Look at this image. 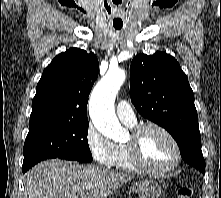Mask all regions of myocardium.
<instances>
[{
	"mask_svg": "<svg viewBox=\"0 0 221 198\" xmlns=\"http://www.w3.org/2000/svg\"><path fill=\"white\" fill-rule=\"evenodd\" d=\"M149 129H156L162 132L170 140L174 147V161L171 165H169L166 168H151L147 166L142 160L140 154V140L143 133ZM126 146L128 149L130 160L133 163V165L137 168V170L154 176H162L174 171L179 166L182 159L181 148L175 136L166 127L155 122H147L134 127L131 131V135L126 143Z\"/></svg>",
	"mask_w": 221,
	"mask_h": 198,
	"instance_id": "obj_1",
	"label": "myocardium"
}]
</instances>
